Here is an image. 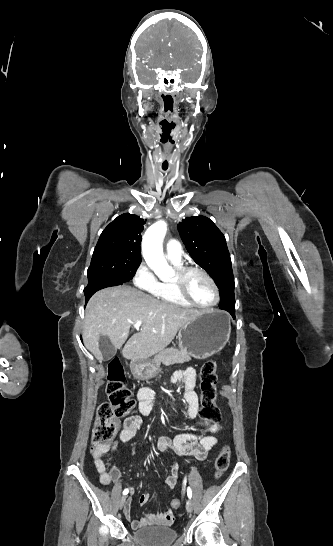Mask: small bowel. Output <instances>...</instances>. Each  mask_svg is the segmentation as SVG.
I'll list each match as a JSON object with an SVG mask.
<instances>
[{"label":"small bowel","mask_w":333,"mask_h":546,"mask_svg":"<svg viewBox=\"0 0 333 546\" xmlns=\"http://www.w3.org/2000/svg\"><path fill=\"white\" fill-rule=\"evenodd\" d=\"M172 381L174 383H183V397L187 404L184 414L185 417L188 419L196 417L199 409V402L195 392V370L191 367L184 370H179L174 373ZM155 396V391L150 387H142L138 390L137 400L139 414H135L124 421L122 431L119 435L120 441L127 442L137 434L143 422L142 416H149L153 412ZM221 429L222 424L220 422H216L206 435L192 431H185L178 434L173 439L168 437L160 438L157 441L156 446L159 452L162 454H167V449L171 448L180 456L194 457L197 460L202 461L206 458L208 451L217 444L218 439L216 434ZM112 451L113 446L110 444L94 446L91 451L94 465L99 474V480L103 485H110L121 480V472L114 462L110 461V463L106 465L104 461V456L112 453ZM170 468L171 473L165 479V484L168 488L173 489L178 481L179 467L175 462H171ZM149 500L150 495L143 493L139 497L138 502L140 505H145ZM124 514L133 529L152 525L167 526L174 520L172 510L157 514H145L140 519L133 518L131 516V500H128L124 506Z\"/></svg>","instance_id":"small-bowel-1"}]
</instances>
